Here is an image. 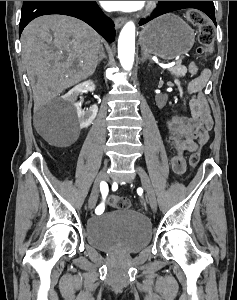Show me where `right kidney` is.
I'll list each match as a JSON object with an SVG mask.
<instances>
[{"instance_id": "ca27d5eb", "label": "right kidney", "mask_w": 237, "mask_h": 300, "mask_svg": "<svg viewBox=\"0 0 237 300\" xmlns=\"http://www.w3.org/2000/svg\"><path fill=\"white\" fill-rule=\"evenodd\" d=\"M83 91H95V85L92 81H85V83H81V85H76L73 87L69 93H66L65 97L67 101H70L72 105H74L78 117V121L80 123V129H85V127H89L91 123H93L97 113L98 107L97 105H91L89 109H80L81 103H77V99L80 93Z\"/></svg>"}]
</instances>
